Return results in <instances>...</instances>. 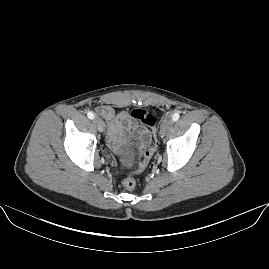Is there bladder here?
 I'll return each instance as SVG.
<instances>
[{
    "label": "bladder",
    "instance_id": "31cf9c89",
    "mask_svg": "<svg viewBox=\"0 0 269 269\" xmlns=\"http://www.w3.org/2000/svg\"><path fill=\"white\" fill-rule=\"evenodd\" d=\"M131 160H132V156H131L130 152L127 151L124 158L121 159L120 165L124 168H129Z\"/></svg>",
    "mask_w": 269,
    "mask_h": 269
}]
</instances>
